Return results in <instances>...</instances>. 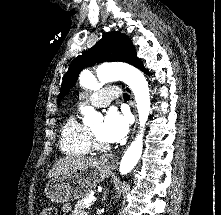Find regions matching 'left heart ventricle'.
<instances>
[{
  "instance_id": "b2bd125f",
  "label": "left heart ventricle",
  "mask_w": 221,
  "mask_h": 215,
  "mask_svg": "<svg viewBox=\"0 0 221 215\" xmlns=\"http://www.w3.org/2000/svg\"><path fill=\"white\" fill-rule=\"evenodd\" d=\"M101 126L102 124L101 123H97L96 125H94L91 130L96 134V136L101 140L103 141L101 138H100V129H101Z\"/></svg>"
}]
</instances>
